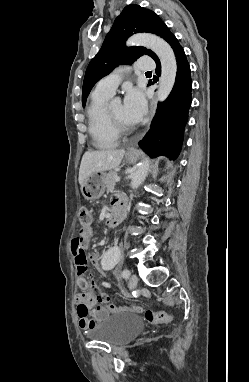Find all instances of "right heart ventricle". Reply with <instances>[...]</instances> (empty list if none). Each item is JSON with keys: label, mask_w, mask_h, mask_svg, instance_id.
Here are the masks:
<instances>
[{"label": "right heart ventricle", "mask_w": 249, "mask_h": 382, "mask_svg": "<svg viewBox=\"0 0 249 382\" xmlns=\"http://www.w3.org/2000/svg\"><path fill=\"white\" fill-rule=\"evenodd\" d=\"M111 95L94 90L87 108L88 130L93 144L99 149H111L118 144L119 135L111 128L106 106Z\"/></svg>", "instance_id": "e07e8e85"}]
</instances>
